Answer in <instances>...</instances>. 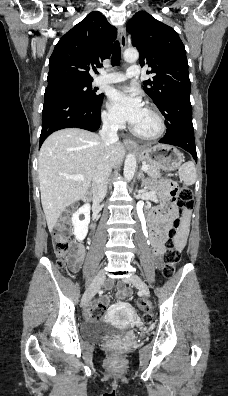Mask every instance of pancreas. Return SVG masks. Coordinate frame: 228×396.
<instances>
[{
	"mask_svg": "<svg viewBox=\"0 0 228 396\" xmlns=\"http://www.w3.org/2000/svg\"><path fill=\"white\" fill-rule=\"evenodd\" d=\"M146 173L153 178H159L161 176L160 168L153 165H148Z\"/></svg>",
	"mask_w": 228,
	"mask_h": 396,
	"instance_id": "pancreas-1",
	"label": "pancreas"
}]
</instances>
